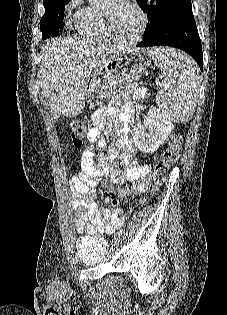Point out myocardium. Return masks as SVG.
Masks as SVG:
<instances>
[{"mask_svg": "<svg viewBox=\"0 0 227 315\" xmlns=\"http://www.w3.org/2000/svg\"><path fill=\"white\" fill-rule=\"evenodd\" d=\"M112 3H116V2H125L128 3L129 5H131L139 14L140 18H141V24H140V28L137 32V34L135 36H133L132 38L126 39L123 38L121 36H119L113 26H112V22H111V15H110V11L108 8H101V12H102V18H103V24L104 27L108 33V35L110 36V38H112L113 40L122 42V43H126V44H134L136 42H138L143 34L145 33V30L147 28L148 25V16L146 14V12L143 10V8L135 1V0H110Z\"/></svg>", "mask_w": 227, "mask_h": 315, "instance_id": "myocardium-1", "label": "myocardium"}]
</instances>
